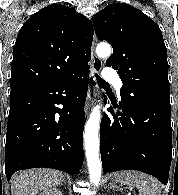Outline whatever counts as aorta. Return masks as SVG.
I'll return each instance as SVG.
<instances>
[{"mask_svg":"<svg viewBox=\"0 0 178 195\" xmlns=\"http://www.w3.org/2000/svg\"><path fill=\"white\" fill-rule=\"evenodd\" d=\"M112 50L109 44L100 43L96 48L99 57L110 56ZM99 126H100V105H96L86 122L84 129V146L89 168L90 181L98 186L101 178V161L99 158Z\"/></svg>","mask_w":178,"mask_h":195,"instance_id":"aorta-1","label":"aorta"}]
</instances>
